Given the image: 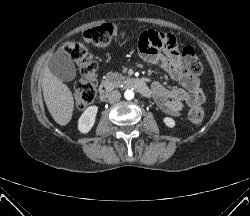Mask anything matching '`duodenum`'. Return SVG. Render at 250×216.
Here are the masks:
<instances>
[{"instance_id": "duodenum-1", "label": "duodenum", "mask_w": 250, "mask_h": 216, "mask_svg": "<svg viewBox=\"0 0 250 216\" xmlns=\"http://www.w3.org/2000/svg\"><path fill=\"white\" fill-rule=\"evenodd\" d=\"M122 85L126 88H131L138 91L143 96H150L151 89L148 85L139 78H126L122 81ZM113 90V86L110 83H102L99 88V97L102 101H105L111 91Z\"/></svg>"}]
</instances>
